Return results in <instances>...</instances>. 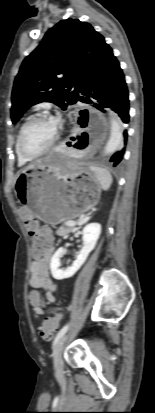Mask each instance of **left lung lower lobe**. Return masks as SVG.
Wrapping results in <instances>:
<instances>
[{"instance_id":"1","label":"left lung lower lobe","mask_w":155,"mask_h":413,"mask_svg":"<svg viewBox=\"0 0 155 413\" xmlns=\"http://www.w3.org/2000/svg\"><path fill=\"white\" fill-rule=\"evenodd\" d=\"M81 102L92 104L101 111L110 107L119 114L124 123L129 121V99L124 74L119 62L107 45L82 83ZM124 142H127V130L124 131ZM125 148L117 151L110 159L117 166L123 159Z\"/></svg>"}]
</instances>
